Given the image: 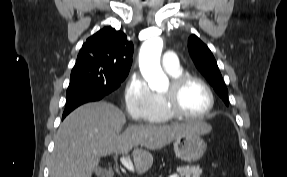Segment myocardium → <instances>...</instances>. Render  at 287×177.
I'll list each match as a JSON object with an SVG mask.
<instances>
[{
  "label": "myocardium",
  "instance_id": "obj_1",
  "mask_svg": "<svg viewBox=\"0 0 287 177\" xmlns=\"http://www.w3.org/2000/svg\"><path fill=\"white\" fill-rule=\"evenodd\" d=\"M192 82L200 84L206 90L209 96V106L207 110L204 113L198 115L185 112L179 105L181 92L186 85ZM162 97L164 99L167 111L173 117L177 118L191 120L204 119L211 114L215 106V95L210 85L202 78L191 74H182L172 79L168 88L162 93Z\"/></svg>",
  "mask_w": 287,
  "mask_h": 177
}]
</instances>
